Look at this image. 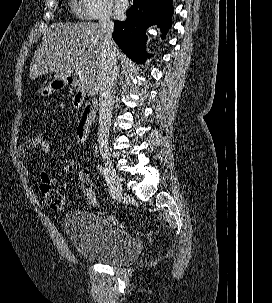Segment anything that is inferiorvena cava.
Returning <instances> with one entry per match:
<instances>
[{
  "mask_svg": "<svg viewBox=\"0 0 272 303\" xmlns=\"http://www.w3.org/2000/svg\"><path fill=\"white\" fill-rule=\"evenodd\" d=\"M98 24L104 35V55L101 62V72L99 76V122L97 140L102 158L108 159V140L111 127L118 67L116 65V59L113 51L115 45L112 39L114 23L110 20V15H103Z\"/></svg>",
  "mask_w": 272,
  "mask_h": 303,
  "instance_id": "inferior-vena-cava-1",
  "label": "inferior vena cava"
}]
</instances>
